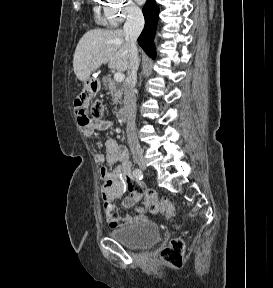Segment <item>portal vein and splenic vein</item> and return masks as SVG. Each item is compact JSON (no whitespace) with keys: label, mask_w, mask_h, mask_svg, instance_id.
<instances>
[{"label":"portal vein and splenic vein","mask_w":273,"mask_h":288,"mask_svg":"<svg viewBox=\"0 0 273 288\" xmlns=\"http://www.w3.org/2000/svg\"><path fill=\"white\" fill-rule=\"evenodd\" d=\"M124 78H125V75L121 72H117L114 74V80L116 82H122L124 80Z\"/></svg>","instance_id":"18ae733b"}]
</instances>
